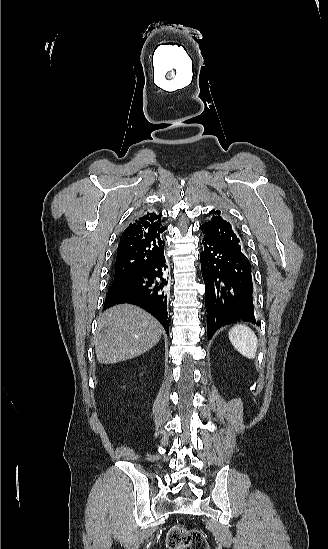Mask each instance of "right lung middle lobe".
<instances>
[{
  "mask_svg": "<svg viewBox=\"0 0 328 549\" xmlns=\"http://www.w3.org/2000/svg\"><path fill=\"white\" fill-rule=\"evenodd\" d=\"M127 278H129V277H123V278H117V277H115V278H114V282L112 283V285L117 284V283H119V282H121V281H123V280H125V279H127Z\"/></svg>",
  "mask_w": 328,
  "mask_h": 549,
  "instance_id": "dd1d6c3e",
  "label": "right lung middle lobe"
}]
</instances>
